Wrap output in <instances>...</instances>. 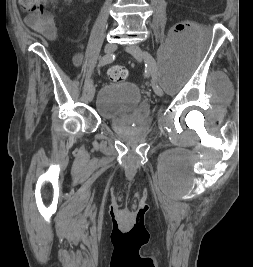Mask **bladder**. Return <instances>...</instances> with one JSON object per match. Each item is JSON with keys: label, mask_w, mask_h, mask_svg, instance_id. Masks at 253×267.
I'll list each match as a JSON object with an SVG mask.
<instances>
[{"label": "bladder", "mask_w": 253, "mask_h": 267, "mask_svg": "<svg viewBox=\"0 0 253 267\" xmlns=\"http://www.w3.org/2000/svg\"><path fill=\"white\" fill-rule=\"evenodd\" d=\"M142 95L131 82H115L104 85L98 93L97 108L102 112H116L138 104Z\"/></svg>", "instance_id": "bladder-1"}]
</instances>
